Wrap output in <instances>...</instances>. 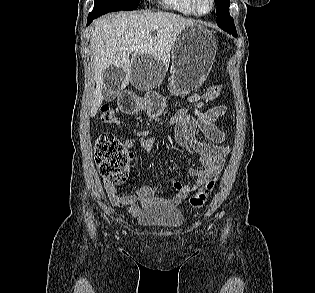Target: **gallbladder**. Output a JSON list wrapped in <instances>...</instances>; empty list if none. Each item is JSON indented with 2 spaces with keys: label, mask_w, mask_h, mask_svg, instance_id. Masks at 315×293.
<instances>
[{
  "label": "gallbladder",
  "mask_w": 315,
  "mask_h": 293,
  "mask_svg": "<svg viewBox=\"0 0 315 293\" xmlns=\"http://www.w3.org/2000/svg\"><path fill=\"white\" fill-rule=\"evenodd\" d=\"M125 72L116 66H109L103 72L104 100L112 101L124 82Z\"/></svg>",
  "instance_id": "obj_1"
}]
</instances>
